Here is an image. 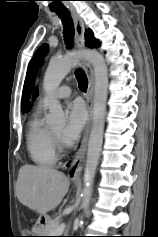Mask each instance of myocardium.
Wrapping results in <instances>:
<instances>
[{
    "label": "myocardium",
    "mask_w": 158,
    "mask_h": 237,
    "mask_svg": "<svg viewBox=\"0 0 158 237\" xmlns=\"http://www.w3.org/2000/svg\"><path fill=\"white\" fill-rule=\"evenodd\" d=\"M51 136H52L53 142L55 144V147H58L59 150H62L61 144L59 141V136H57L53 131H51Z\"/></svg>",
    "instance_id": "obj_1"
}]
</instances>
